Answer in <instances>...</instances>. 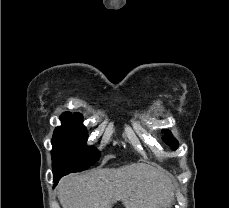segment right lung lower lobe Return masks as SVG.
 <instances>
[{
    "mask_svg": "<svg viewBox=\"0 0 229 208\" xmlns=\"http://www.w3.org/2000/svg\"><path fill=\"white\" fill-rule=\"evenodd\" d=\"M66 175H67V174H66ZM63 176H65V174H61V175L54 176V179H53V181H54V187L58 184L59 180H60Z\"/></svg>",
    "mask_w": 229,
    "mask_h": 208,
    "instance_id": "obj_1",
    "label": "right lung lower lobe"
}]
</instances>
